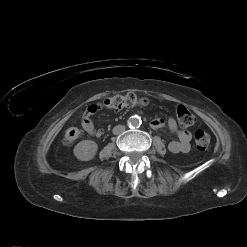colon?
<instances>
[{"mask_svg": "<svg viewBox=\"0 0 247 247\" xmlns=\"http://www.w3.org/2000/svg\"><path fill=\"white\" fill-rule=\"evenodd\" d=\"M149 104L148 99L137 96L134 93L116 94L105 98L96 105V108H107L120 110L123 108L145 107ZM176 116L180 125L189 127L195 123V116L183 105L176 108ZM81 135V131L76 127L68 128L64 133L63 142L69 146L75 143ZM195 144L201 151H205L210 146V135L204 130L198 129L194 133Z\"/></svg>", "mask_w": 247, "mask_h": 247, "instance_id": "colon-1", "label": "colon"}]
</instances>
